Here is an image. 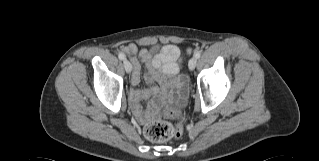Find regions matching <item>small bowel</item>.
<instances>
[{
	"instance_id": "obj_1",
	"label": "small bowel",
	"mask_w": 319,
	"mask_h": 161,
	"mask_svg": "<svg viewBox=\"0 0 319 161\" xmlns=\"http://www.w3.org/2000/svg\"><path fill=\"white\" fill-rule=\"evenodd\" d=\"M121 51L123 54H126L132 65H133V76L131 83L132 85L136 86L139 84L141 79V67L140 62L136 58L137 53V46L134 43L127 44L121 48ZM178 56V50L173 45H166L162 48V54L157 57L155 60H153L151 63L148 64L146 74H145V80L152 84L156 78L155 68L157 66H160L161 64H165L166 69L170 73H176L177 68L172 63V60L175 59ZM139 57L141 60L148 62L149 61V53L147 50H141L139 53ZM182 88V86H180ZM161 92V97L153 104L151 109L145 113L142 109V107L139 105V101L152 97L156 94ZM130 101H131V108L133 113L137 118H139L142 121L150 120L156 118V108L159 102L162 101H168V102H176L178 104L182 103L181 97L177 94L174 87H164L159 88L156 85H151L148 88L141 89V90H132L130 92Z\"/></svg>"
}]
</instances>
